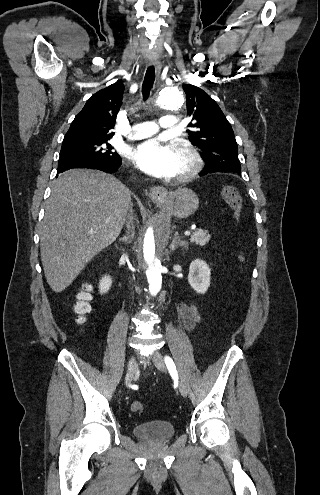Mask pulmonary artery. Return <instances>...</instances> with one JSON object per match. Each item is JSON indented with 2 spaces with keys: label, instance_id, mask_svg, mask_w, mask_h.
Returning <instances> with one entry per match:
<instances>
[{
  "label": "pulmonary artery",
  "instance_id": "1",
  "mask_svg": "<svg viewBox=\"0 0 320 495\" xmlns=\"http://www.w3.org/2000/svg\"><path fill=\"white\" fill-rule=\"evenodd\" d=\"M159 127L168 131H173L177 127V120L174 116L166 115L159 119V126L150 121L137 123L133 125L129 138L142 139L150 137L158 131Z\"/></svg>",
  "mask_w": 320,
  "mask_h": 495
}]
</instances>
